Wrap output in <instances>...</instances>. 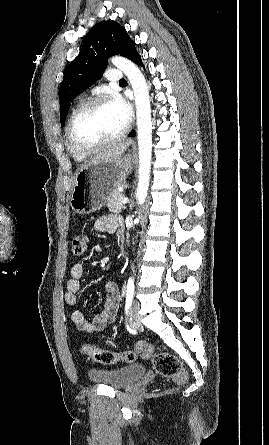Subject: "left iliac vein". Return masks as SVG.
<instances>
[{
	"label": "left iliac vein",
	"instance_id": "left-iliac-vein-1",
	"mask_svg": "<svg viewBox=\"0 0 269 445\" xmlns=\"http://www.w3.org/2000/svg\"><path fill=\"white\" fill-rule=\"evenodd\" d=\"M139 309V303L137 301H133L129 310V322L132 326L140 325Z\"/></svg>",
	"mask_w": 269,
	"mask_h": 445
}]
</instances>
